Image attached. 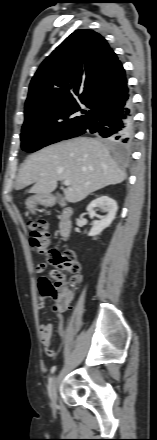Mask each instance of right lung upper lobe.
<instances>
[{
  "instance_id": "cb5924a9",
  "label": "right lung upper lobe",
  "mask_w": 157,
  "mask_h": 440,
  "mask_svg": "<svg viewBox=\"0 0 157 440\" xmlns=\"http://www.w3.org/2000/svg\"><path fill=\"white\" fill-rule=\"evenodd\" d=\"M126 97V74L116 54L100 34L80 29L44 60L32 78L25 122L85 125Z\"/></svg>"
}]
</instances>
